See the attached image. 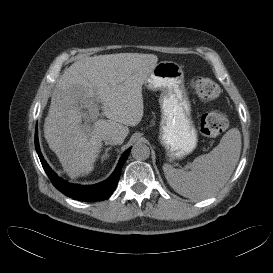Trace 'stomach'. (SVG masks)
Masks as SVG:
<instances>
[{
  "mask_svg": "<svg viewBox=\"0 0 273 273\" xmlns=\"http://www.w3.org/2000/svg\"><path fill=\"white\" fill-rule=\"evenodd\" d=\"M144 86L160 92L159 140L167 156L181 159L192 153L198 143V133L191 117V104L184 87L182 66L173 61L159 62L147 77Z\"/></svg>",
  "mask_w": 273,
  "mask_h": 273,
  "instance_id": "0dacf381",
  "label": "stomach"
}]
</instances>
